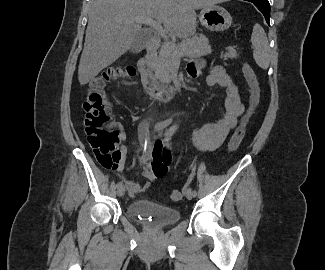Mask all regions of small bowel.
Returning <instances> with one entry per match:
<instances>
[{
	"label": "small bowel",
	"instance_id": "obj_1",
	"mask_svg": "<svg viewBox=\"0 0 325 270\" xmlns=\"http://www.w3.org/2000/svg\"><path fill=\"white\" fill-rule=\"evenodd\" d=\"M188 74L191 78H198L201 74L199 65L192 63L188 69ZM206 82L209 86L226 88L225 110L216 122L194 129L191 133V141L198 150L213 151L223 143L229 132L237 125L239 118L245 111V106L240 100L237 86L221 66L215 65L210 69ZM117 126L120 132V139L124 141L126 139L124 128L120 124ZM119 151L121 159L119 164L114 167L116 170L123 169L126 158V148L124 145H121ZM170 161L171 154L163 147L162 143L155 145L152 153L146 157L147 168L143 171V176L148 182L140 184L123 177L122 180L130 194L132 196L138 195L148 189L151 182L163 177L168 170Z\"/></svg>",
	"mask_w": 325,
	"mask_h": 270
}]
</instances>
